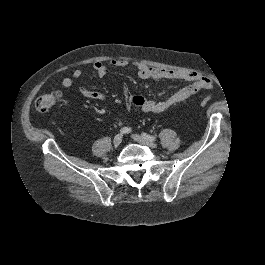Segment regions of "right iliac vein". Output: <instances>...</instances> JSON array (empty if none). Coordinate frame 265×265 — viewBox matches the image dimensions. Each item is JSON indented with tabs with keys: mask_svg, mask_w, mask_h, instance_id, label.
<instances>
[{
	"mask_svg": "<svg viewBox=\"0 0 265 265\" xmlns=\"http://www.w3.org/2000/svg\"><path fill=\"white\" fill-rule=\"evenodd\" d=\"M122 139H123V136L122 134H117L115 137H114V140H113V144L115 147L119 146L122 142Z\"/></svg>",
	"mask_w": 265,
	"mask_h": 265,
	"instance_id": "63e3f726",
	"label": "right iliac vein"
}]
</instances>
